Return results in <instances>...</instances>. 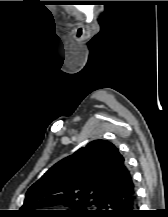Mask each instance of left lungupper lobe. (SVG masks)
<instances>
[{"mask_svg":"<svg viewBox=\"0 0 168 217\" xmlns=\"http://www.w3.org/2000/svg\"><path fill=\"white\" fill-rule=\"evenodd\" d=\"M131 179L123 156L105 140H95L52 166L27 191L21 211L29 216L64 214L93 217L104 201ZM54 205L69 211H41ZM97 207V210H91Z\"/></svg>","mask_w":168,"mask_h":217,"instance_id":"obj_1","label":"left lung upper lobe"}]
</instances>
